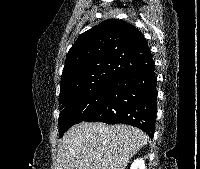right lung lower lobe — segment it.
I'll use <instances>...</instances> for the list:
<instances>
[{
	"label": "right lung lower lobe",
	"instance_id": "obj_1",
	"mask_svg": "<svg viewBox=\"0 0 200 169\" xmlns=\"http://www.w3.org/2000/svg\"><path fill=\"white\" fill-rule=\"evenodd\" d=\"M156 82L154 64L119 78L102 104L83 121L129 124L153 137L157 111Z\"/></svg>",
	"mask_w": 200,
	"mask_h": 169
}]
</instances>
